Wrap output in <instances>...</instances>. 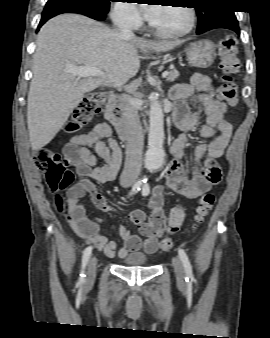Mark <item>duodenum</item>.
Listing matches in <instances>:
<instances>
[{
  "mask_svg": "<svg viewBox=\"0 0 270 338\" xmlns=\"http://www.w3.org/2000/svg\"><path fill=\"white\" fill-rule=\"evenodd\" d=\"M122 114L123 109L119 105L118 96L114 93L110 94L104 108V118L118 131L120 137H123Z\"/></svg>",
  "mask_w": 270,
  "mask_h": 338,
  "instance_id": "duodenum-1",
  "label": "duodenum"
}]
</instances>
